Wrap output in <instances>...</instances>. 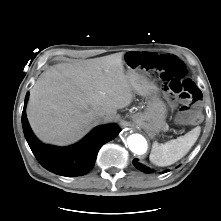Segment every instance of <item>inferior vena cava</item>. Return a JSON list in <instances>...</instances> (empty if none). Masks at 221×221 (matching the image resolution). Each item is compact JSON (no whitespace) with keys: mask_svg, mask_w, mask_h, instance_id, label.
I'll use <instances>...</instances> for the list:
<instances>
[{"mask_svg":"<svg viewBox=\"0 0 221 221\" xmlns=\"http://www.w3.org/2000/svg\"><path fill=\"white\" fill-rule=\"evenodd\" d=\"M96 118L98 121H103V119L105 118V114L102 111H99L96 113Z\"/></svg>","mask_w":221,"mask_h":221,"instance_id":"1","label":"inferior vena cava"}]
</instances>
